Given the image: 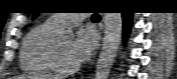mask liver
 <instances>
[{"mask_svg":"<svg viewBox=\"0 0 177 79\" xmlns=\"http://www.w3.org/2000/svg\"><path fill=\"white\" fill-rule=\"evenodd\" d=\"M14 79H58L53 76H16Z\"/></svg>","mask_w":177,"mask_h":79,"instance_id":"obj_1","label":"liver"}]
</instances>
